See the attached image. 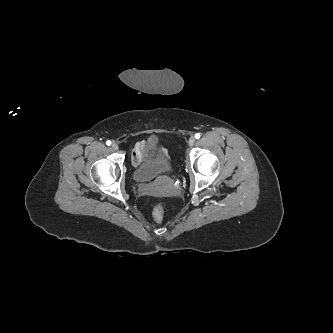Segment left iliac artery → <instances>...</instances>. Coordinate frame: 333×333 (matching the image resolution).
<instances>
[{"label": "left iliac artery", "mask_w": 333, "mask_h": 333, "mask_svg": "<svg viewBox=\"0 0 333 333\" xmlns=\"http://www.w3.org/2000/svg\"><path fill=\"white\" fill-rule=\"evenodd\" d=\"M195 138H196V139H199V138H200V134H199V133H196V134H195Z\"/></svg>", "instance_id": "obj_1"}]
</instances>
